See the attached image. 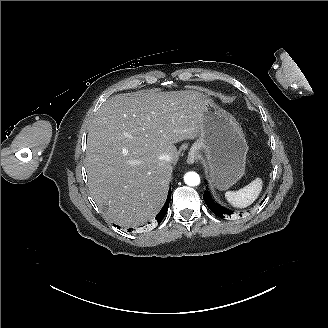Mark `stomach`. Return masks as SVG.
<instances>
[{
	"label": "stomach",
	"mask_w": 328,
	"mask_h": 328,
	"mask_svg": "<svg viewBox=\"0 0 328 328\" xmlns=\"http://www.w3.org/2000/svg\"><path fill=\"white\" fill-rule=\"evenodd\" d=\"M202 97L200 132L190 159L203 152L211 181L219 190H226L244 175L249 148L235 117L217 105L209 91H203Z\"/></svg>",
	"instance_id": "0dacf381"
}]
</instances>
